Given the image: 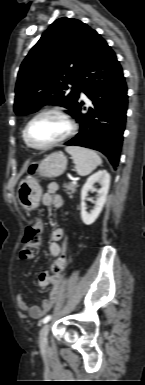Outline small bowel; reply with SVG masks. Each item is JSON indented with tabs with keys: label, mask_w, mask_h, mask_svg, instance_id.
I'll return each instance as SVG.
<instances>
[{
	"label": "small bowel",
	"mask_w": 145,
	"mask_h": 385,
	"mask_svg": "<svg viewBox=\"0 0 145 385\" xmlns=\"http://www.w3.org/2000/svg\"><path fill=\"white\" fill-rule=\"evenodd\" d=\"M58 184L50 183L47 186L46 193L42 196L41 202L45 206H52L53 208H60L63 206V199L57 194ZM65 236V232L62 228H54L51 232L50 253L56 256L58 261L63 258L66 264V247L61 244ZM54 262V263H55ZM53 263V264H54ZM62 284V273H54L49 275L47 272H41L38 277V285L47 291L48 298L42 301L40 306L30 305L25 299L23 293H19L17 296V304L21 311L27 312L30 317L38 319L42 317L53 305L57 294L60 291Z\"/></svg>",
	"instance_id": "obj_1"
}]
</instances>
